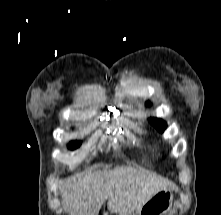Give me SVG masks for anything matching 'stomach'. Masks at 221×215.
I'll use <instances>...</instances> for the list:
<instances>
[{
  "label": "stomach",
  "mask_w": 221,
  "mask_h": 215,
  "mask_svg": "<svg viewBox=\"0 0 221 215\" xmlns=\"http://www.w3.org/2000/svg\"><path fill=\"white\" fill-rule=\"evenodd\" d=\"M173 194L170 189L161 190L154 194L140 210L117 215H165L171 208Z\"/></svg>",
  "instance_id": "obj_1"
}]
</instances>
